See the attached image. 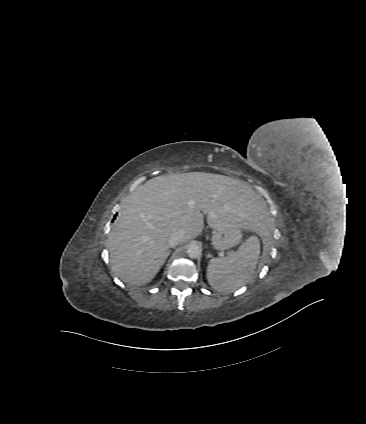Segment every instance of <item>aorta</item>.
<instances>
[{
  "mask_svg": "<svg viewBox=\"0 0 366 424\" xmlns=\"http://www.w3.org/2000/svg\"><path fill=\"white\" fill-rule=\"evenodd\" d=\"M187 254L190 258H198L201 254V248L196 244H190L187 248Z\"/></svg>",
  "mask_w": 366,
  "mask_h": 424,
  "instance_id": "obj_1",
  "label": "aorta"
}]
</instances>
